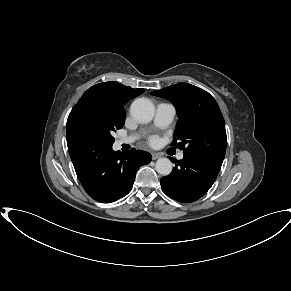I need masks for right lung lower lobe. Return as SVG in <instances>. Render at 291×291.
Listing matches in <instances>:
<instances>
[{
	"instance_id": "1",
	"label": "right lung lower lobe",
	"mask_w": 291,
	"mask_h": 291,
	"mask_svg": "<svg viewBox=\"0 0 291 291\" xmlns=\"http://www.w3.org/2000/svg\"><path fill=\"white\" fill-rule=\"evenodd\" d=\"M68 151L77 177L94 200L108 203L126 196L139 167L151 162V155L136 150L125 154L112 146L84 137H67Z\"/></svg>"
}]
</instances>
